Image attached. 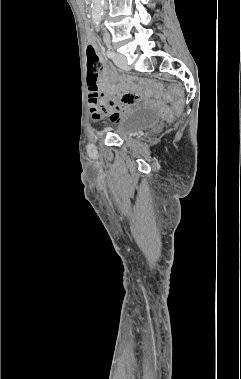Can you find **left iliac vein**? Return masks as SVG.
<instances>
[{
	"label": "left iliac vein",
	"instance_id": "4c4485c4",
	"mask_svg": "<svg viewBox=\"0 0 241 379\" xmlns=\"http://www.w3.org/2000/svg\"><path fill=\"white\" fill-rule=\"evenodd\" d=\"M114 63L123 70H130V67L127 63V58L122 54L115 55Z\"/></svg>",
	"mask_w": 241,
	"mask_h": 379
}]
</instances>
